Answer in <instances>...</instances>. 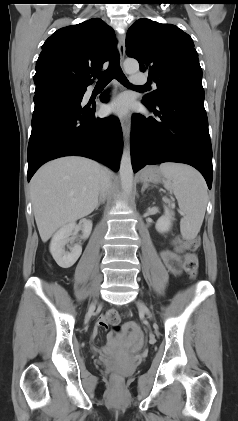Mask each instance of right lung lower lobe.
I'll list each match as a JSON object with an SVG mask.
<instances>
[{
  "label": "right lung lower lobe",
  "instance_id": "1",
  "mask_svg": "<svg viewBox=\"0 0 238 421\" xmlns=\"http://www.w3.org/2000/svg\"><path fill=\"white\" fill-rule=\"evenodd\" d=\"M87 86L53 82L36 85L27 153L28 181L42 164L62 156H84L119 170L123 148L120 122L112 116L93 117L95 108L82 105ZM106 99L101 96L102 102Z\"/></svg>",
  "mask_w": 238,
  "mask_h": 421
}]
</instances>
